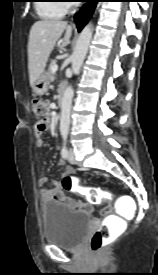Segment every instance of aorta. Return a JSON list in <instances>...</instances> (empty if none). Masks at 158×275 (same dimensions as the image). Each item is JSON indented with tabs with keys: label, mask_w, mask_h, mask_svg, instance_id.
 Masks as SVG:
<instances>
[{
	"label": "aorta",
	"mask_w": 158,
	"mask_h": 275,
	"mask_svg": "<svg viewBox=\"0 0 158 275\" xmlns=\"http://www.w3.org/2000/svg\"><path fill=\"white\" fill-rule=\"evenodd\" d=\"M93 29L92 25L88 24L81 31L79 38L77 40L76 47L71 56L72 62V71L73 73L79 72L85 56L88 51V47L90 45V41L92 38ZM73 88L71 86L67 87L64 91V95L61 103V117H60V132L67 133L70 125V112L72 106V98H73Z\"/></svg>",
	"instance_id": "obj_1"
}]
</instances>
